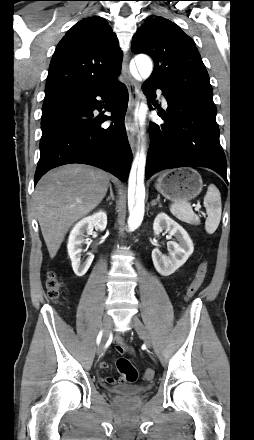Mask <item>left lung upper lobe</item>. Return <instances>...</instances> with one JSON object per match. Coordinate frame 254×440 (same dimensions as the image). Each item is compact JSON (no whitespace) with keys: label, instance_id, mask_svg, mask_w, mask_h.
Returning a JSON list of instances; mask_svg holds the SVG:
<instances>
[{"label":"left lung upper lobe","instance_id":"left-lung-upper-lobe-1","mask_svg":"<svg viewBox=\"0 0 254 440\" xmlns=\"http://www.w3.org/2000/svg\"><path fill=\"white\" fill-rule=\"evenodd\" d=\"M131 49L154 60L147 81L161 86L170 98L191 99L216 109L209 76L191 37L163 17L147 18L133 37Z\"/></svg>","mask_w":254,"mask_h":440}]
</instances>
